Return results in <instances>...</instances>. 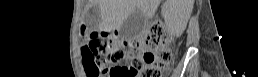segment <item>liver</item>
I'll list each match as a JSON object with an SVG mask.
<instances>
[{
    "mask_svg": "<svg viewBox=\"0 0 258 77\" xmlns=\"http://www.w3.org/2000/svg\"><path fill=\"white\" fill-rule=\"evenodd\" d=\"M161 0H100L99 9L102 22L100 29L111 31L121 27L128 16L136 9L140 10L145 17L151 18ZM194 0H167L165 9L173 8L185 24L190 17ZM169 22V17L167 19Z\"/></svg>",
    "mask_w": 258,
    "mask_h": 77,
    "instance_id": "obj_1",
    "label": "liver"
}]
</instances>
